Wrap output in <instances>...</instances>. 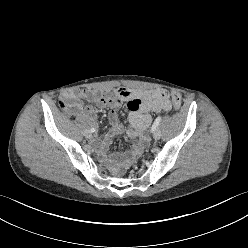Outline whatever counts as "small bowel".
Wrapping results in <instances>:
<instances>
[{"label":"small bowel","instance_id":"obj_1","mask_svg":"<svg viewBox=\"0 0 248 248\" xmlns=\"http://www.w3.org/2000/svg\"><path fill=\"white\" fill-rule=\"evenodd\" d=\"M79 97H86L97 102L101 107L110 108L109 120L112 125L111 130L105 135L103 140H94L95 145L101 150L106 149L110 145L113 136L123 131L116 108L123 101L128 103L129 122L132 128L130 135L139 136L140 141L132 155H124L120 158L122 163H127L131 156L137 154L144 146L146 138L143 132L151 123L150 113L168 112L172 108L170 100L164 95V90L160 89L118 88L112 92L93 89L86 93L65 91L60 96L71 113L85 112L91 114L92 109L89 107L84 108L79 102Z\"/></svg>","mask_w":248,"mask_h":248}]
</instances>
